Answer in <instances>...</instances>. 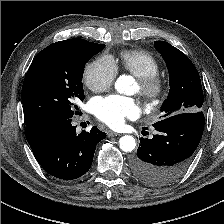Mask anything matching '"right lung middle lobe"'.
Instances as JSON below:
<instances>
[{"instance_id":"1","label":"right lung middle lobe","mask_w":224,"mask_h":224,"mask_svg":"<svg viewBox=\"0 0 224 224\" xmlns=\"http://www.w3.org/2000/svg\"><path fill=\"white\" fill-rule=\"evenodd\" d=\"M105 47L85 41L70 47H46L33 59L22 86L25 123L47 117L71 118L84 100L82 77L88 60Z\"/></svg>"}]
</instances>
